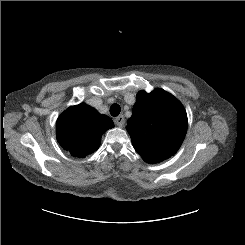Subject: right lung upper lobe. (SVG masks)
I'll return each mask as SVG.
<instances>
[{"instance_id": "right-lung-upper-lobe-1", "label": "right lung upper lobe", "mask_w": 245, "mask_h": 245, "mask_svg": "<svg viewBox=\"0 0 245 245\" xmlns=\"http://www.w3.org/2000/svg\"><path fill=\"white\" fill-rule=\"evenodd\" d=\"M112 127L114 123L110 117L81 103L69 107L59 116L57 140L72 156L85 157L99 148L101 136Z\"/></svg>"}]
</instances>
